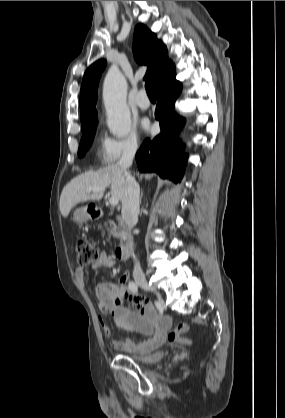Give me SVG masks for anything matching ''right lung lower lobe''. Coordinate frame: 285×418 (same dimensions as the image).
<instances>
[{
    "label": "right lung lower lobe",
    "mask_w": 285,
    "mask_h": 418,
    "mask_svg": "<svg viewBox=\"0 0 285 418\" xmlns=\"http://www.w3.org/2000/svg\"><path fill=\"white\" fill-rule=\"evenodd\" d=\"M181 90L182 84L174 77L158 91L155 118L159 120L161 133L153 140L146 139L136 153V162L141 172H156L175 183L181 180L188 158L182 152L184 146L174 148L178 143L176 133L185 123V119L174 111Z\"/></svg>",
    "instance_id": "1"
}]
</instances>
